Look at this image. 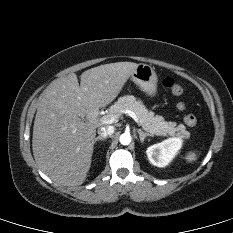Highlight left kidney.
<instances>
[{
	"instance_id": "left-kidney-1",
	"label": "left kidney",
	"mask_w": 233,
	"mask_h": 233,
	"mask_svg": "<svg viewBox=\"0 0 233 233\" xmlns=\"http://www.w3.org/2000/svg\"><path fill=\"white\" fill-rule=\"evenodd\" d=\"M182 142L180 138H169L148 147L146 153L149 161L158 167L167 166L180 150Z\"/></svg>"
}]
</instances>
